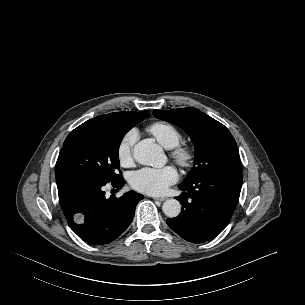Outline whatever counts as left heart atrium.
Masks as SVG:
<instances>
[{
  "label": "left heart atrium",
  "mask_w": 305,
  "mask_h": 305,
  "mask_svg": "<svg viewBox=\"0 0 305 305\" xmlns=\"http://www.w3.org/2000/svg\"><path fill=\"white\" fill-rule=\"evenodd\" d=\"M178 179V173L172 166L162 168H144L131 176V185L136 190L150 195L163 194Z\"/></svg>",
  "instance_id": "left-heart-atrium-1"
}]
</instances>
